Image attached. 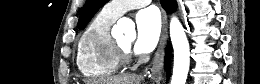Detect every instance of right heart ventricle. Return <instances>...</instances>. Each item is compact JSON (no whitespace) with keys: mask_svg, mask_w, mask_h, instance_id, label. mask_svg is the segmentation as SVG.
I'll list each match as a JSON object with an SVG mask.
<instances>
[{"mask_svg":"<svg viewBox=\"0 0 260 84\" xmlns=\"http://www.w3.org/2000/svg\"><path fill=\"white\" fill-rule=\"evenodd\" d=\"M116 19L103 9L83 32L77 49V66L83 76L103 79L121 70L123 65L114 53L110 34Z\"/></svg>","mask_w":260,"mask_h":84,"instance_id":"right-heart-ventricle-1","label":"right heart ventricle"}]
</instances>
